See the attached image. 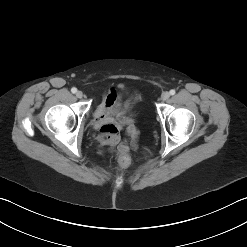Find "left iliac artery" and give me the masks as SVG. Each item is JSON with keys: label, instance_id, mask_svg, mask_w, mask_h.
<instances>
[{"label": "left iliac artery", "instance_id": "obj_1", "mask_svg": "<svg viewBox=\"0 0 247 247\" xmlns=\"http://www.w3.org/2000/svg\"><path fill=\"white\" fill-rule=\"evenodd\" d=\"M175 93H176V92H175L174 89L170 90V94H171V95H174Z\"/></svg>", "mask_w": 247, "mask_h": 247}]
</instances>
